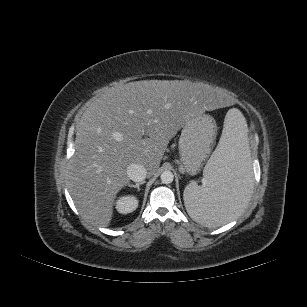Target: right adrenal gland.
Listing matches in <instances>:
<instances>
[{"label":"right adrenal gland","instance_id":"right-adrenal-gland-1","mask_svg":"<svg viewBox=\"0 0 307 307\" xmlns=\"http://www.w3.org/2000/svg\"><path fill=\"white\" fill-rule=\"evenodd\" d=\"M142 184H144V181L139 182V183H136V184H130V183H128V187L137 188V190L140 191V185H142Z\"/></svg>","mask_w":307,"mask_h":307}]
</instances>
